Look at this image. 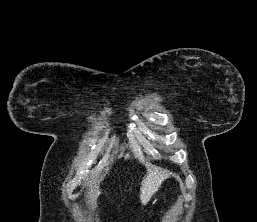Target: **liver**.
Masks as SVG:
<instances>
[{
	"instance_id": "liver-1",
	"label": "liver",
	"mask_w": 257,
	"mask_h": 222,
	"mask_svg": "<svg viewBox=\"0 0 257 222\" xmlns=\"http://www.w3.org/2000/svg\"><path fill=\"white\" fill-rule=\"evenodd\" d=\"M168 174L158 172L156 169L148 171L146 177L141 182L140 200L143 205H146L161 183L168 177ZM100 194V191L95 192V198Z\"/></svg>"
}]
</instances>
